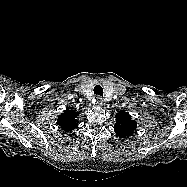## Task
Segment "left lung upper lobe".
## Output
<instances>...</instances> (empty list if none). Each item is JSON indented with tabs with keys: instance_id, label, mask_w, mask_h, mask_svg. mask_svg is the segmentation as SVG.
Returning <instances> with one entry per match:
<instances>
[{
	"instance_id": "left-lung-upper-lobe-1",
	"label": "left lung upper lobe",
	"mask_w": 187,
	"mask_h": 187,
	"mask_svg": "<svg viewBox=\"0 0 187 187\" xmlns=\"http://www.w3.org/2000/svg\"><path fill=\"white\" fill-rule=\"evenodd\" d=\"M116 123L114 125L115 132L119 138H126L134 133L137 128L135 120L131 119V116L123 110L117 113Z\"/></svg>"
}]
</instances>
